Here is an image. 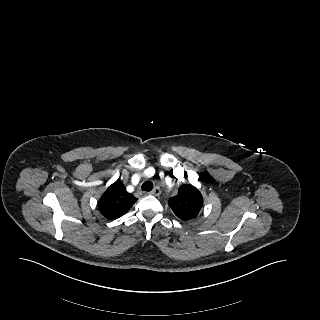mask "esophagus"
<instances>
[{"label": "esophagus", "mask_w": 320, "mask_h": 320, "mask_svg": "<svg viewBox=\"0 0 320 320\" xmlns=\"http://www.w3.org/2000/svg\"><path fill=\"white\" fill-rule=\"evenodd\" d=\"M150 194L153 196H159L161 194V190L159 187H154Z\"/></svg>", "instance_id": "1"}]
</instances>
